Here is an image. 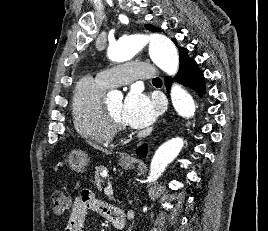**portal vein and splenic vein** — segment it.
<instances>
[{
	"mask_svg": "<svg viewBox=\"0 0 268 231\" xmlns=\"http://www.w3.org/2000/svg\"><path fill=\"white\" fill-rule=\"evenodd\" d=\"M104 193L107 196H113V189L111 184H108V186H106V188L104 189Z\"/></svg>",
	"mask_w": 268,
	"mask_h": 231,
	"instance_id": "obj_1",
	"label": "portal vein and splenic vein"
}]
</instances>
